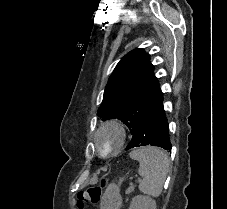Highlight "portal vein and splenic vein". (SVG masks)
Wrapping results in <instances>:
<instances>
[{
  "mask_svg": "<svg viewBox=\"0 0 227 209\" xmlns=\"http://www.w3.org/2000/svg\"><path fill=\"white\" fill-rule=\"evenodd\" d=\"M128 185H129V188H128V191L126 192L128 195H131L132 194V191L136 188L134 185H133V182L132 181H129L128 182Z\"/></svg>",
  "mask_w": 227,
  "mask_h": 209,
  "instance_id": "1",
  "label": "portal vein and splenic vein"
}]
</instances>
